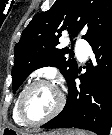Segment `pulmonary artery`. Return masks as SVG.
<instances>
[{"label": "pulmonary artery", "mask_w": 112, "mask_h": 135, "mask_svg": "<svg viewBox=\"0 0 112 135\" xmlns=\"http://www.w3.org/2000/svg\"><path fill=\"white\" fill-rule=\"evenodd\" d=\"M76 52H77L78 58L81 61L86 60V58L88 57V55L90 53L89 44L84 40L78 41L77 44H76Z\"/></svg>", "instance_id": "1"}]
</instances>
